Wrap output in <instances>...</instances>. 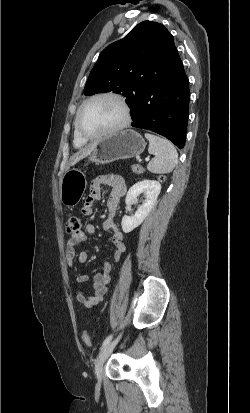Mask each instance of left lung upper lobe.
Masks as SVG:
<instances>
[{
	"label": "left lung upper lobe",
	"instance_id": "obj_1",
	"mask_svg": "<svg viewBox=\"0 0 250 413\" xmlns=\"http://www.w3.org/2000/svg\"><path fill=\"white\" fill-rule=\"evenodd\" d=\"M173 45V36L162 24L141 22L123 39L101 52L88 77L84 93H122L130 107L141 84L164 68Z\"/></svg>",
	"mask_w": 250,
	"mask_h": 413
}]
</instances>
